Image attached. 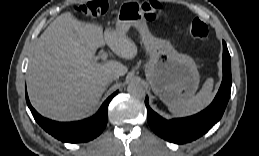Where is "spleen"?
Listing matches in <instances>:
<instances>
[{"instance_id":"3e777b00","label":"spleen","mask_w":259,"mask_h":156,"mask_svg":"<svg viewBox=\"0 0 259 156\" xmlns=\"http://www.w3.org/2000/svg\"><path fill=\"white\" fill-rule=\"evenodd\" d=\"M213 79L208 78L202 89L193 97L183 100L181 102L168 105L169 111L175 116H189L195 114L206 106H208L213 99Z\"/></svg>"}]
</instances>
